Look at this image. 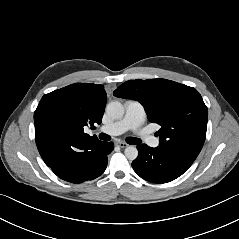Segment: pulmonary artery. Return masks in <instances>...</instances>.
Segmentation results:
<instances>
[{
	"mask_svg": "<svg viewBox=\"0 0 239 239\" xmlns=\"http://www.w3.org/2000/svg\"><path fill=\"white\" fill-rule=\"evenodd\" d=\"M125 115L122 119L100 128L101 132L109 135H120L127 130H132L141 137V139L151 147H157L159 140L153 135H149L140 130L143 125L146 113L143 106L134 100H128L124 104Z\"/></svg>",
	"mask_w": 239,
	"mask_h": 239,
	"instance_id": "1",
	"label": "pulmonary artery"
}]
</instances>
